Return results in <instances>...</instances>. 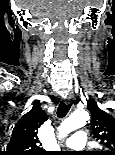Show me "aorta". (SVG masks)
Segmentation results:
<instances>
[{"instance_id":"obj_1","label":"aorta","mask_w":115,"mask_h":155,"mask_svg":"<svg viewBox=\"0 0 115 155\" xmlns=\"http://www.w3.org/2000/svg\"><path fill=\"white\" fill-rule=\"evenodd\" d=\"M89 120V114L85 110H78L65 119L59 126V137H66L69 133L83 127Z\"/></svg>"}]
</instances>
